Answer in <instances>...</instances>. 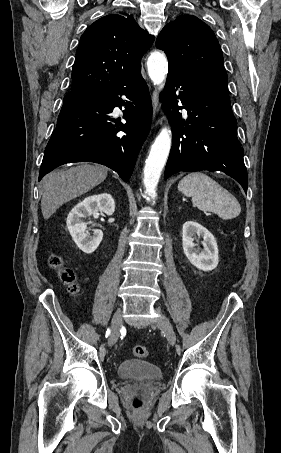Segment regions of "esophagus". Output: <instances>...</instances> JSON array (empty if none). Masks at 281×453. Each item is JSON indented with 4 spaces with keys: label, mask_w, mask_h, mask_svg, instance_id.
I'll use <instances>...</instances> for the list:
<instances>
[{
    "label": "esophagus",
    "mask_w": 281,
    "mask_h": 453,
    "mask_svg": "<svg viewBox=\"0 0 281 453\" xmlns=\"http://www.w3.org/2000/svg\"><path fill=\"white\" fill-rule=\"evenodd\" d=\"M152 101H153V111H154V116H155V114L157 112V93H156V91L153 92Z\"/></svg>",
    "instance_id": "1"
}]
</instances>
